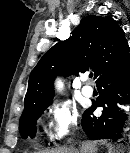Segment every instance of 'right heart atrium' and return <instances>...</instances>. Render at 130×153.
Wrapping results in <instances>:
<instances>
[{
    "instance_id": "right-heart-atrium-1",
    "label": "right heart atrium",
    "mask_w": 130,
    "mask_h": 153,
    "mask_svg": "<svg viewBox=\"0 0 130 153\" xmlns=\"http://www.w3.org/2000/svg\"><path fill=\"white\" fill-rule=\"evenodd\" d=\"M51 140L60 142L70 135L78 125L77 109L65 101H55L49 107Z\"/></svg>"
}]
</instances>
